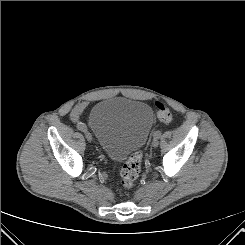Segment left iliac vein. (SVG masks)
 <instances>
[{
    "instance_id": "left-iliac-vein-1",
    "label": "left iliac vein",
    "mask_w": 245,
    "mask_h": 245,
    "mask_svg": "<svg viewBox=\"0 0 245 245\" xmlns=\"http://www.w3.org/2000/svg\"><path fill=\"white\" fill-rule=\"evenodd\" d=\"M159 145V140L158 138H154L153 141H152V146L153 147H157Z\"/></svg>"
}]
</instances>
